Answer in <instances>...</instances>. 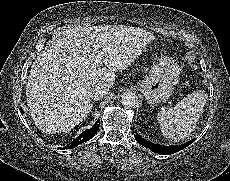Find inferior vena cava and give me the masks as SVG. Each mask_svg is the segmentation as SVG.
Returning <instances> with one entry per match:
<instances>
[{"mask_svg":"<svg viewBox=\"0 0 230 181\" xmlns=\"http://www.w3.org/2000/svg\"><path fill=\"white\" fill-rule=\"evenodd\" d=\"M107 92H108V89L106 87L98 85V86L91 88L90 91L88 92V95L91 99L98 100L104 97L107 94Z\"/></svg>","mask_w":230,"mask_h":181,"instance_id":"obj_1","label":"inferior vena cava"}]
</instances>
